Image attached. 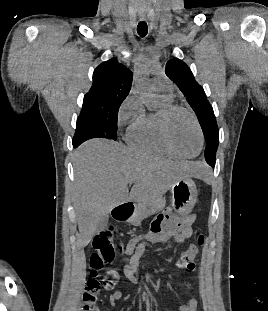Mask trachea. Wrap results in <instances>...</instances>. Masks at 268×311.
Listing matches in <instances>:
<instances>
[{
    "mask_svg": "<svg viewBox=\"0 0 268 311\" xmlns=\"http://www.w3.org/2000/svg\"><path fill=\"white\" fill-rule=\"evenodd\" d=\"M137 33L141 36V37H145L148 33V26L147 23L145 21H140L138 23L137 26Z\"/></svg>",
    "mask_w": 268,
    "mask_h": 311,
    "instance_id": "1",
    "label": "trachea"
}]
</instances>
